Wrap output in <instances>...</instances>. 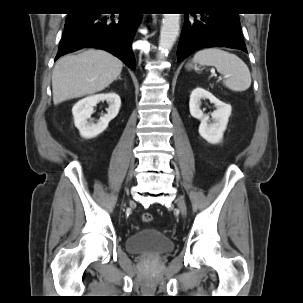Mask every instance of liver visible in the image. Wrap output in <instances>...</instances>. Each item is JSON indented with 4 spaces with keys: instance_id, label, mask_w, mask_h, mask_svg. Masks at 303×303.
<instances>
[{
    "instance_id": "obj_1",
    "label": "liver",
    "mask_w": 303,
    "mask_h": 303,
    "mask_svg": "<svg viewBox=\"0 0 303 303\" xmlns=\"http://www.w3.org/2000/svg\"><path fill=\"white\" fill-rule=\"evenodd\" d=\"M122 68V61L102 50L89 49L60 58L52 74L54 104L104 90Z\"/></svg>"
}]
</instances>
